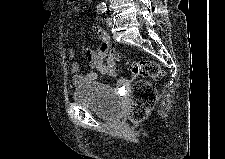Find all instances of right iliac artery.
<instances>
[{"mask_svg": "<svg viewBox=\"0 0 225 159\" xmlns=\"http://www.w3.org/2000/svg\"><path fill=\"white\" fill-rule=\"evenodd\" d=\"M107 11L106 6H98L97 7V13L98 15H103Z\"/></svg>", "mask_w": 225, "mask_h": 159, "instance_id": "82829eb1", "label": "right iliac artery"}]
</instances>
